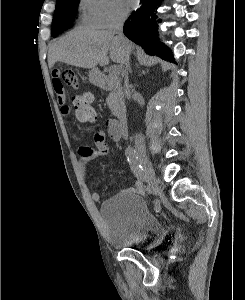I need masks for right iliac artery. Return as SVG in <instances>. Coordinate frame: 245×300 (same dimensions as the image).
<instances>
[{"label":"right iliac artery","mask_w":245,"mask_h":300,"mask_svg":"<svg viewBox=\"0 0 245 300\" xmlns=\"http://www.w3.org/2000/svg\"><path fill=\"white\" fill-rule=\"evenodd\" d=\"M125 155L135 176L141 181L145 182L146 185H148V192L150 194H156V186H153V182H151V177H146L144 169L138 161L136 151L132 147H128L125 150Z\"/></svg>","instance_id":"right-iliac-artery-1"}]
</instances>
